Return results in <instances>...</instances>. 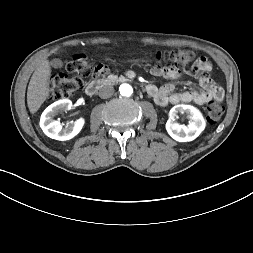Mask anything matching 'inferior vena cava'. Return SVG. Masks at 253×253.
<instances>
[{
    "instance_id": "obj_1",
    "label": "inferior vena cava",
    "mask_w": 253,
    "mask_h": 253,
    "mask_svg": "<svg viewBox=\"0 0 253 253\" xmlns=\"http://www.w3.org/2000/svg\"><path fill=\"white\" fill-rule=\"evenodd\" d=\"M113 93H114V88L112 86H103L99 90V96L103 99L111 97Z\"/></svg>"
}]
</instances>
